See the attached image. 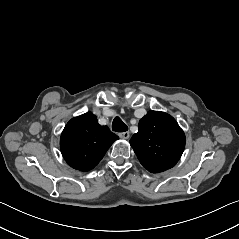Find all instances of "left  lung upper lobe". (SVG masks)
<instances>
[{"label": "left lung upper lobe", "mask_w": 239, "mask_h": 239, "mask_svg": "<svg viewBox=\"0 0 239 239\" xmlns=\"http://www.w3.org/2000/svg\"><path fill=\"white\" fill-rule=\"evenodd\" d=\"M140 163L152 173L172 168L185 147V134L167 113L149 111L130 140Z\"/></svg>", "instance_id": "obj_1"}]
</instances>
